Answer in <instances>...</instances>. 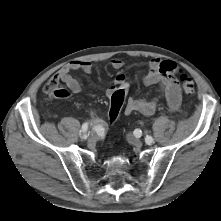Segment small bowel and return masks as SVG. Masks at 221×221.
I'll return each mask as SVG.
<instances>
[{
	"label": "small bowel",
	"mask_w": 221,
	"mask_h": 221,
	"mask_svg": "<svg viewBox=\"0 0 221 221\" xmlns=\"http://www.w3.org/2000/svg\"><path fill=\"white\" fill-rule=\"evenodd\" d=\"M110 66L115 70H120L124 66L121 59L115 58L110 62ZM82 71L86 74L93 72V64L90 61L77 60L62 67L53 77L59 82L64 83L72 93H79L82 89L81 83L72 76V71ZM177 66L170 60L154 58L149 62V70L144 76L145 86L152 87L158 85L161 89L162 96L166 100L167 106L171 112H176L181 105V88L175 78ZM117 88H124L126 93L129 90L127 76L124 73L118 74L113 84L106 89V95L111 96ZM157 99L147 100L141 97H129L125 106L126 114L139 112L143 115L150 116L157 109Z\"/></svg>",
	"instance_id": "small-bowel-1"
}]
</instances>
